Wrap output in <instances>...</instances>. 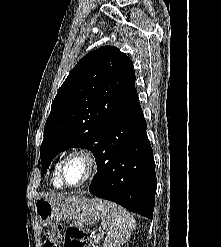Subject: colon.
<instances>
[{
    "mask_svg": "<svg viewBox=\"0 0 221 247\" xmlns=\"http://www.w3.org/2000/svg\"><path fill=\"white\" fill-rule=\"evenodd\" d=\"M63 231L62 224L53 225L47 233L44 247H87L86 233L79 224H71Z\"/></svg>",
    "mask_w": 221,
    "mask_h": 247,
    "instance_id": "obj_1",
    "label": "colon"
}]
</instances>
